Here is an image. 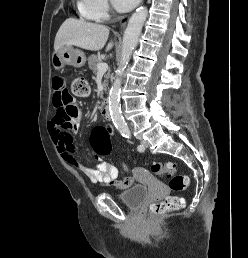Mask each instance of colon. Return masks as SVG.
<instances>
[{
  "mask_svg": "<svg viewBox=\"0 0 248 258\" xmlns=\"http://www.w3.org/2000/svg\"><path fill=\"white\" fill-rule=\"evenodd\" d=\"M72 94L77 97H86L89 94V85L82 77H77L72 82ZM77 113V108L72 106L67 111L56 115V119L61 127L69 128L71 126V118ZM93 147L95 154L101 156L104 154L118 157L119 153L110 150L111 142L109 131L106 127L99 126L93 130L92 133ZM119 168H128L129 162L118 160ZM153 173L166 177L169 181V186L175 191H182L187 188L189 178L185 175L176 174V164L173 162H154L151 166ZM184 205V198L177 195H169L164 199L151 204L150 212L155 215H162L164 213L178 210Z\"/></svg>",
  "mask_w": 248,
  "mask_h": 258,
  "instance_id": "colon-1",
  "label": "colon"
}]
</instances>
